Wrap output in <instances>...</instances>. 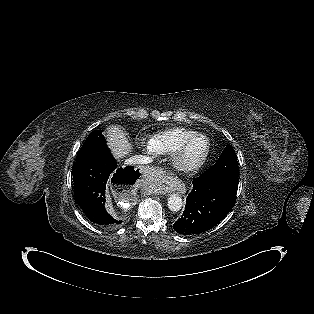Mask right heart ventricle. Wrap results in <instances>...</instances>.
Wrapping results in <instances>:
<instances>
[{"label":"right heart ventricle","instance_id":"1","mask_svg":"<svg viewBox=\"0 0 314 314\" xmlns=\"http://www.w3.org/2000/svg\"><path fill=\"white\" fill-rule=\"evenodd\" d=\"M197 134L186 128H171L153 134L148 140V149L157 155L175 153L186 139Z\"/></svg>","mask_w":314,"mask_h":314}]
</instances>
